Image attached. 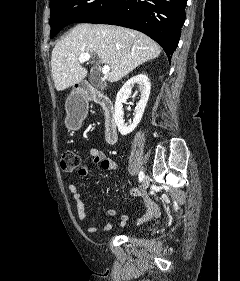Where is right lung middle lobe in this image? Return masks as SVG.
<instances>
[{
    "instance_id": "dd1d6c3e",
    "label": "right lung middle lobe",
    "mask_w": 240,
    "mask_h": 281,
    "mask_svg": "<svg viewBox=\"0 0 240 281\" xmlns=\"http://www.w3.org/2000/svg\"><path fill=\"white\" fill-rule=\"evenodd\" d=\"M118 0H51L50 36L70 23H92L109 11Z\"/></svg>"
}]
</instances>
